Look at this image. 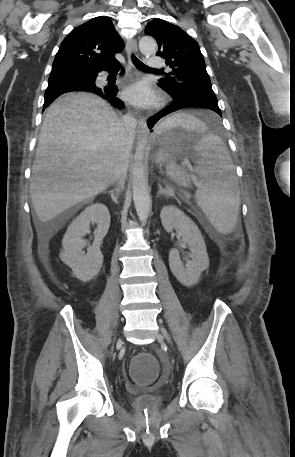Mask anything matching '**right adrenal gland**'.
<instances>
[{
  "label": "right adrenal gland",
  "mask_w": 295,
  "mask_h": 457,
  "mask_svg": "<svg viewBox=\"0 0 295 457\" xmlns=\"http://www.w3.org/2000/svg\"><path fill=\"white\" fill-rule=\"evenodd\" d=\"M107 194H109L111 196V199L112 201H114L115 204H118V196H119V188H116L114 190H111V191H107L105 192Z\"/></svg>",
  "instance_id": "2a0ac1e0"
}]
</instances>
